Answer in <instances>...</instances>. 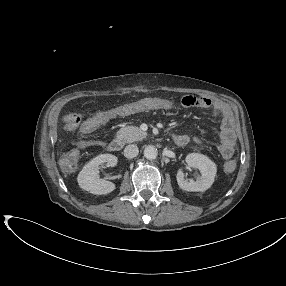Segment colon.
I'll list each match as a JSON object with an SVG mask.
<instances>
[{"label": "colon", "mask_w": 286, "mask_h": 286, "mask_svg": "<svg viewBox=\"0 0 286 286\" xmlns=\"http://www.w3.org/2000/svg\"><path fill=\"white\" fill-rule=\"evenodd\" d=\"M72 118L76 122L80 120V116L77 113H72ZM83 132H87V130L83 129ZM77 162H78V154L74 151L66 154L62 159V163L67 169L74 168ZM225 168L227 171H233L235 168V163L233 161H229L226 163Z\"/></svg>", "instance_id": "1"}]
</instances>
